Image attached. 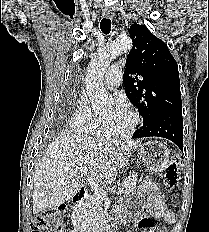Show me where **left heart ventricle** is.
<instances>
[{
  "label": "left heart ventricle",
  "instance_id": "b2bd125f",
  "mask_svg": "<svg viewBox=\"0 0 209 232\" xmlns=\"http://www.w3.org/2000/svg\"><path fill=\"white\" fill-rule=\"evenodd\" d=\"M103 117L106 119L110 131L113 133L126 132L132 124V117L126 110L116 111L110 108L103 114Z\"/></svg>",
  "mask_w": 209,
  "mask_h": 232
}]
</instances>
